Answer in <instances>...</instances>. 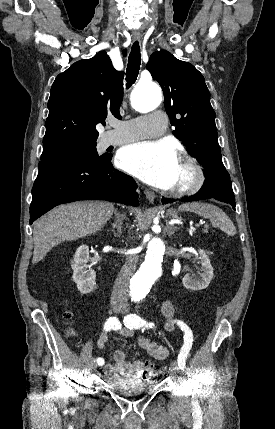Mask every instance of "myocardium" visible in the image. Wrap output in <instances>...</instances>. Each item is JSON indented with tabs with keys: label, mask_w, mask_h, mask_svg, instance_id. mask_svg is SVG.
Wrapping results in <instances>:
<instances>
[{
	"label": "myocardium",
	"mask_w": 275,
	"mask_h": 429,
	"mask_svg": "<svg viewBox=\"0 0 275 429\" xmlns=\"http://www.w3.org/2000/svg\"><path fill=\"white\" fill-rule=\"evenodd\" d=\"M180 162L189 170V181L179 187H172L170 194L175 197H184L197 193L205 182V173L199 162L188 154L180 155Z\"/></svg>",
	"instance_id": "myocardium-1"
}]
</instances>
